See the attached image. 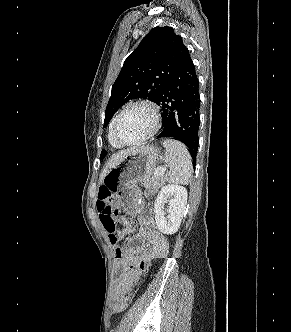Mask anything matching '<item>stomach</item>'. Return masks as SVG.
<instances>
[{
  "label": "stomach",
  "instance_id": "stomach-1",
  "mask_svg": "<svg viewBox=\"0 0 291 332\" xmlns=\"http://www.w3.org/2000/svg\"><path fill=\"white\" fill-rule=\"evenodd\" d=\"M160 159V151L153 146L135 148L111 168L103 179L105 186L129 213L139 210L141 196L137 183L149 179Z\"/></svg>",
  "mask_w": 291,
  "mask_h": 332
}]
</instances>
